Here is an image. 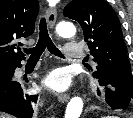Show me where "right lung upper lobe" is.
<instances>
[{
  "mask_svg": "<svg viewBox=\"0 0 133 118\" xmlns=\"http://www.w3.org/2000/svg\"><path fill=\"white\" fill-rule=\"evenodd\" d=\"M37 0H0V66L14 67L24 59L17 39L34 32Z\"/></svg>",
  "mask_w": 133,
  "mask_h": 118,
  "instance_id": "obj_1",
  "label": "right lung upper lobe"
}]
</instances>
